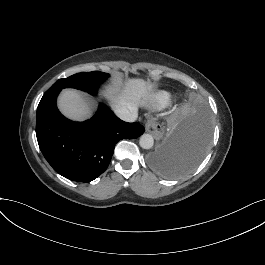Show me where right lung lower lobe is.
Instances as JSON below:
<instances>
[{
    "mask_svg": "<svg viewBox=\"0 0 265 265\" xmlns=\"http://www.w3.org/2000/svg\"><path fill=\"white\" fill-rule=\"evenodd\" d=\"M60 90L47 91L37 108L36 136L40 150L53 169L63 177L90 182L108 167L115 144L135 139L144 127L120 120L105 105L84 122H72L57 109Z\"/></svg>",
    "mask_w": 265,
    "mask_h": 265,
    "instance_id": "right-lung-lower-lobe-1",
    "label": "right lung lower lobe"
}]
</instances>
